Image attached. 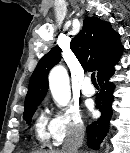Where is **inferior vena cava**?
<instances>
[{
  "label": "inferior vena cava",
  "mask_w": 130,
  "mask_h": 153,
  "mask_svg": "<svg viewBox=\"0 0 130 153\" xmlns=\"http://www.w3.org/2000/svg\"><path fill=\"white\" fill-rule=\"evenodd\" d=\"M85 127L79 124L71 129L64 140L62 153H78V148L83 143Z\"/></svg>",
  "instance_id": "obj_1"
}]
</instances>
